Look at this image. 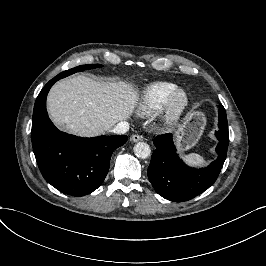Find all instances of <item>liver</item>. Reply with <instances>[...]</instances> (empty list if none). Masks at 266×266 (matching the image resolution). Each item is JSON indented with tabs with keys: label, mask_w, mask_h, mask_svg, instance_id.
<instances>
[{
	"label": "liver",
	"mask_w": 266,
	"mask_h": 266,
	"mask_svg": "<svg viewBox=\"0 0 266 266\" xmlns=\"http://www.w3.org/2000/svg\"><path fill=\"white\" fill-rule=\"evenodd\" d=\"M138 100V91L131 83L95 81L78 75L53 85L47 96V110L59 128L94 137L129 118Z\"/></svg>",
	"instance_id": "6515ba94"
}]
</instances>
